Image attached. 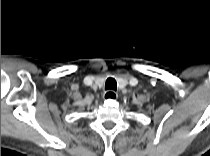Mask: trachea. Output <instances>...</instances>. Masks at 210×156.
<instances>
[{
    "instance_id": "1",
    "label": "trachea",
    "mask_w": 210,
    "mask_h": 156,
    "mask_svg": "<svg viewBox=\"0 0 210 156\" xmlns=\"http://www.w3.org/2000/svg\"><path fill=\"white\" fill-rule=\"evenodd\" d=\"M105 89L106 90H113V91H116L117 89V82L114 78L112 77H109L107 80H106V83H105Z\"/></svg>"
}]
</instances>
